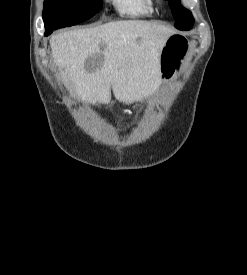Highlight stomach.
I'll return each instance as SVG.
<instances>
[{"label":"stomach","instance_id":"stomach-1","mask_svg":"<svg viewBox=\"0 0 247 275\" xmlns=\"http://www.w3.org/2000/svg\"><path fill=\"white\" fill-rule=\"evenodd\" d=\"M189 55V41L182 35H170L161 49L159 64L161 81L176 79Z\"/></svg>","mask_w":247,"mask_h":275}]
</instances>
